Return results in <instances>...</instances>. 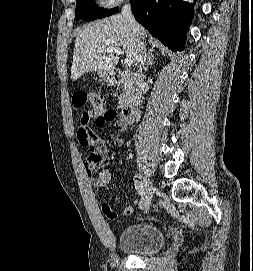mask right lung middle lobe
Here are the masks:
<instances>
[{
  "label": "right lung middle lobe",
  "mask_w": 253,
  "mask_h": 271,
  "mask_svg": "<svg viewBox=\"0 0 253 271\" xmlns=\"http://www.w3.org/2000/svg\"><path fill=\"white\" fill-rule=\"evenodd\" d=\"M118 7L113 9H96L95 0H77L76 1V19L94 20L110 16L118 11Z\"/></svg>",
  "instance_id": "obj_1"
}]
</instances>
